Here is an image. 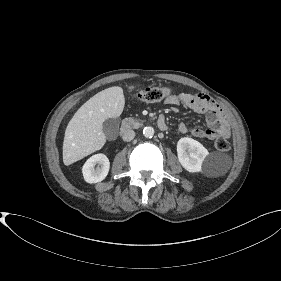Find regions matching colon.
Here are the masks:
<instances>
[{"mask_svg": "<svg viewBox=\"0 0 281 281\" xmlns=\"http://www.w3.org/2000/svg\"><path fill=\"white\" fill-rule=\"evenodd\" d=\"M168 89L161 87H148L140 90L135 94V99L142 102H157L160 101L166 94ZM214 146L219 151H227L230 149V143L226 138H218L214 142Z\"/></svg>", "mask_w": 281, "mask_h": 281, "instance_id": "5ec220e1", "label": "colon"}]
</instances>
